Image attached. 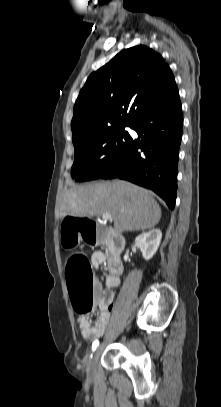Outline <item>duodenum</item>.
Segmentation results:
<instances>
[{
  "label": "duodenum",
  "instance_id": "duodenum-1",
  "mask_svg": "<svg viewBox=\"0 0 221 407\" xmlns=\"http://www.w3.org/2000/svg\"><path fill=\"white\" fill-rule=\"evenodd\" d=\"M109 234L110 252L108 256V267L112 274L119 275L123 270L121 253L124 249L125 241L124 238L113 229H109Z\"/></svg>",
  "mask_w": 221,
  "mask_h": 407
}]
</instances>
